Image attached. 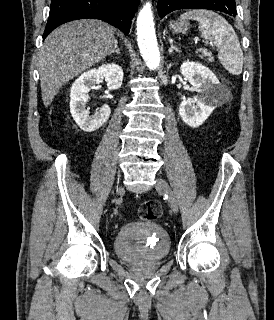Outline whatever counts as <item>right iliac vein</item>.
<instances>
[{
	"label": "right iliac vein",
	"instance_id": "1",
	"mask_svg": "<svg viewBox=\"0 0 274 320\" xmlns=\"http://www.w3.org/2000/svg\"><path fill=\"white\" fill-rule=\"evenodd\" d=\"M116 193L117 194H122L123 193V188L121 186L117 187Z\"/></svg>",
	"mask_w": 274,
	"mask_h": 320
}]
</instances>
